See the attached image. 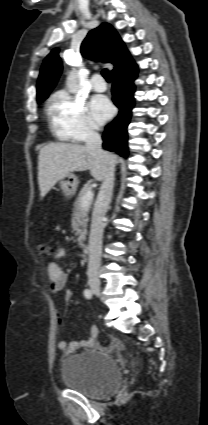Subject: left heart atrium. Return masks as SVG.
Returning a JSON list of instances; mask_svg holds the SVG:
<instances>
[{
    "mask_svg": "<svg viewBox=\"0 0 208 425\" xmlns=\"http://www.w3.org/2000/svg\"><path fill=\"white\" fill-rule=\"evenodd\" d=\"M91 116L98 124L106 122L114 113L112 104L106 97L95 96L91 101Z\"/></svg>",
    "mask_w": 208,
    "mask_h": 425,
    "instance_id": "left-heart-atrium-1",
    "label": "left heart atrium"
}]
</instances>
